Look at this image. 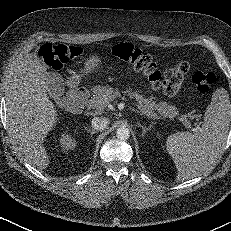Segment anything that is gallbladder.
Here are the masks:
<instances>
[{"instance_id":"bac80fb5","label":"gallbladder","mask_w":231,"mask_h":231,"mask_svg":"<svg viewBox=\"0 0 231 231\" xmlns=\"http://www.w3.org/2000/svg\"><path fill=\"white\" fill-rule=\"evenodd\" d=\"M47 80L49 82V88L51 92H54L56 89L62 90V79L57 73H47Z\"/></svg>"}]
</instances>
